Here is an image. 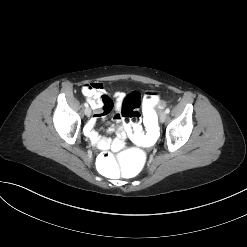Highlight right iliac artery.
<instances>
[{
    "mask_svg": "<svg viewBox=\"0 0 247 247\" xmlns=\"http://www.w3.org/2000/svg\"><path fill=\"white\" fill-rule=\"evenodd\" d=\"M84 106L87 108L88 107V104L87 103H84Z\"/></svg>",
    "mask_w": 247,
    "mask_h": 247,
    "instance_id": "obj_1",
    "label": "right iliac artery"
}]
</instances>
